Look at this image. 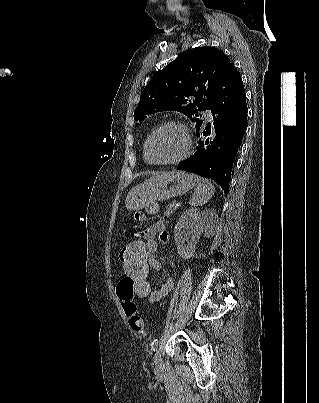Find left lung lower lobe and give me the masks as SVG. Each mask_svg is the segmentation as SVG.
Returning <instances> with one entry per match:
<instances>
[{
    "mask_svg": "<svg viewBox=\"0 0 319 403\" xmlns=\"http://www.w3.org/2000/svg\"><path fill=\"white\" fill-rule=\"evenodd\" d=\"M209 109L213 115L215 138L211 140V123H203L197 131L196 152L181 162L177 170L213 179L228 193L231 171L238 148L242 144L248 112L243 82L234 65Z\"/></svg>",
    "mask_w": 319,
    "mask_h": 403,
    "instance_id": "left-lung-lower-lobe-1",
    "label": "left lung lower lobe"
}]
</instances>
